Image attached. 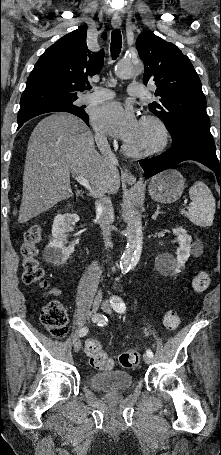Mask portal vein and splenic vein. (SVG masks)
Returning a JSON list of instances; mask_svg holds the SVG:
<instances>
[{"label":"portal vein and splenic vein","mask_w":221,"mask_h":455,"mask_svg":"<svg viewBox=\"0 0 221 455\" xmlns=\"http://www.w3.org/2000/svg\"><path fill=\"white\" fill-rule=\"evenodd\" d=\"M75 179L79 182L82 186H84L88 191L93 193V189L91 188L89 182L82 176H76Z\"/></svg>","instance_id":"portal-vein-and-splenic-vein-1"}]
</instances>
